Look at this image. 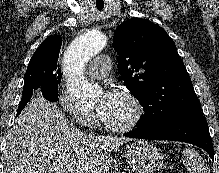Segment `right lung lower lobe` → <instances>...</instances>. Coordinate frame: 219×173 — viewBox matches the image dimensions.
Returning <instances> with one entry per match:
<instances>
[{"mask_svg": "<svg viewBox=\"0 0 219 173\" xmlns=\"http://www.w3.org/2000/svg\"><path fill=\"white\" fill-rule=\"evenodd\" d=\"M33 94L31 95H23L22 96V99H21V102L19 104V107H18V111H17V115L23 110V108L25 107V105L28 103V101L31 99Z\"/></svg>", "mask_w": 219, "mask_h": 173, "instance_id": "obj_1", "label": "right lung lower lobe"}]
</instances>
